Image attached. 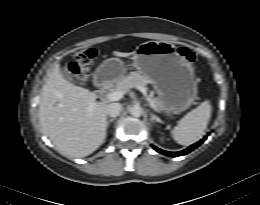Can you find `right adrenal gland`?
<instances>
[{
    "mask_svg": "<svg viewBox=\"0 0 260 205\" xmlns=\"http://www.w3.org/2000/svg\"><path fill=\"white\" fill-rule=\"evenodd\" d=\"M114 120H115V118H111V119H109V120L107 121L106 126L109 127V124H110L111 122H113Z\"/></svg>",
    "mask_w": 260,
    "mask_h": 205,
    "instance_id": "1",
    "label": "right adrenal gland"
}]
</instances>
